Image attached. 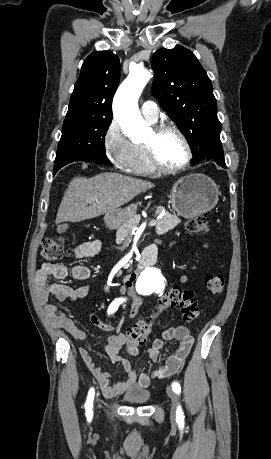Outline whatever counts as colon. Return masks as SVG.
<instances>
[{"instance_id":"colon-1","label":"colon","mask_w":271,"mask_h":459,"mask_svg":"<svg viewBox=\"0 0 271 459\" xmlns=\"http://www.w3.org/2000/svg\"><path fill=\"white\" fill-rule=\"evenodd\" d=\"M209 228V220L206 215H199L187 222V230L193 233H205ZM64 246L61 238H46L42 242L41 256L46 261H56L63 257ZM207 290L214 296H220L225 287V280L222 275H210L205 279ZM179 307L185 321H192L198 315V306L191 291L180 288H172L158 301L157 311L150 317L135 323L125 333V342L129 354L138 352L148 339L156 315L167 309Z\"/></svg>"}]
</instances>
